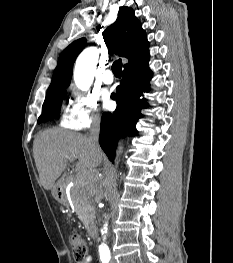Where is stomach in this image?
Instances as JSON below:
<instances>
[{"label":"stomach","mask_w":233,"mask_h":263,"mask_svg":"<svg viewBox=\"0 0 233 263\" xmlns=\"http://www.w3.org/2000/svg\"><path fill=\"white\" fill-rule=\"evenodd\" d=\"M54 197L61 203H66L65 187L62 181L56 183L52 190Z\"/></svg>","instance_id":"obj_1"}]
</instances>
